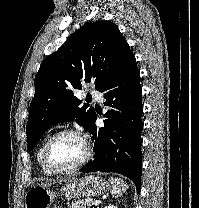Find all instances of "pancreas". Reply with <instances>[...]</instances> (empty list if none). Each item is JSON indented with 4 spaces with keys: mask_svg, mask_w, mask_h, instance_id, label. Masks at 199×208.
I'll use <instances>...</instances> for the list:
<instances>
[{
    "mask_svg": "<svg viewBox=\"0 0 199 208\" xmlns=\"http://www.w3.org/2000/svg\"><path fill=\"white\" fill-rule=\"evenodd\" d=\"M91 199H86V200H77V201H72L71 203H67L68 208H86L87 206H90L92 204Z\"/></svg>",
    "mask_w": 199,
    "mask_h": 208,
    "instance_id": "1",
    "label": "pancreas"
}]
</instances>
